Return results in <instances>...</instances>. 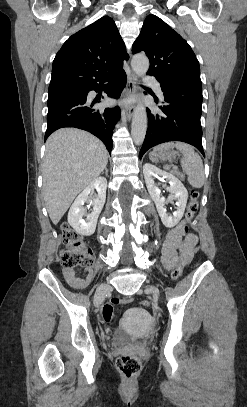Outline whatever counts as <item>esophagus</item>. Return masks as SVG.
Listing matches in <instances>:
<instances>
[{"label": "esophagus", "mask_w": 247, "mask_h": 407, "mask_svg": "<svg viewBox=\"0 0 247 407\" xmlns=\"http://www.w3.org/2000/svg\"><path fill=\"white\" fill-rule=\"evenodd\" d=\"M136 82H137V77L133 72H131L128 77V80H127V85L125 88V96L131 97V96L135 95L136 90H137ZM134 111H135V105L133 103L127 102L124 104L123 115L128 120H130L132 118Z\"/></svg>", "instance_id": "1"}]
</instances>
